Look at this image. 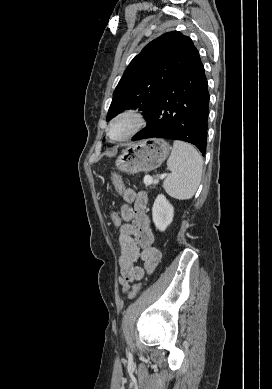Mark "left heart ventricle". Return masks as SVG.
Listing matches in <instances>:
<instances>
[{
  "label": "left heart ventricle",
  "mask_w": 272,
  "mask_h": 389,
  "mask_svg": "<svg viewBox=\"0 0 272 389\" xmlns=\"http://www.w3.org/2000/svg\"><path fill=\"white\" fill-rule=\"evenodd\" d=\"M128 129V124L126 122H120L114 126L112 129V136L119 137L123 135Z\"/></svg>",
  "instance_id": "b2bd125f"
}]
</instances>
